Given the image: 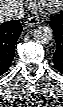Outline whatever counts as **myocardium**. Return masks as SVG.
Returning a JSON list of instances; mask_svg holds the SVG:
<instances>
[{"instance_id": "obj_1", "label": "myocardium", "mask_w": 63, "mask_h": 107, "mask_svg": "<svg viewBox=\"0 0 63 107\" xmlns=\"http://www.w3.org/2000/svg\"><path fill=\"white\" fill-rule=\"evenodd\" d=\"M37 6L47 12H54L63 5L62 0H37Z\"/></svg>"}]
</instances>
